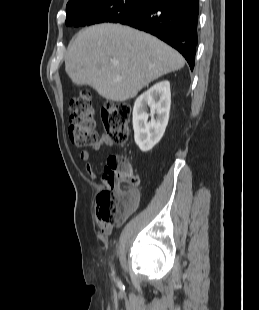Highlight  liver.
Instances as JSON below:
<instances>
[{"label":"liver","mask_w":259,"mask_h":310,"mask_svg":"<svg viewBox=\"0 0 259 310\" xmlns=\"http://www.w3.org/2000/svg\"><path fill=\"white\" fill-rule=\"evenodd\" d=\"M184 64L180 53L156 37L109 23L81 30L65 57L66 73L75 85H89L115 102L134 98L150 82Z\"/></svg>","instance_id":"obj_1"}]
</instances>
